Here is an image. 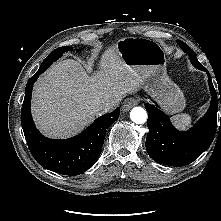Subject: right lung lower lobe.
Segmentation results:
<instances>
[{
	"mask_svg": "<svg viewBox=\"0 0 221 221\" xmlns=\"http://www.w3.org/2000/svg\"><path fill=\"white\" fill-rule=\"evenodd\" d=\"M49 66L40 67L26 85L21 109V124L28 147L44 168L64 175L75 176L88 170L99 158L107 128L118 119L120 108L97 118L79 135L54 140L44 137L35 127L31 116V93L38 76Z\"/></svg>",
	"mask_w": 221,
	"mask_h": 221,
	"instance_id": "98d812e1",
	"label": "right lung lower lobe"
}]
</instances>
